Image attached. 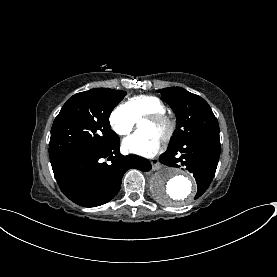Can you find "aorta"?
Listing matches in <instances>:
<instances>
[{
    "label": "aorta",
    "instance_id": "obj_1",
    "mask_svg": "<svg viewBox=\"0 0 277 277\" xmlns=\"http://www.w3.org/2000/svg\"><path fill=\"white\" fill-rule=\"evenodd\" d=\"M194 179L179 169L164 168L151 180V191L159 202L166 205L189 203L196 193Z\"/></svg>",
    "mask_w": 277,
    "mask_h": 277
}]
</instances>
